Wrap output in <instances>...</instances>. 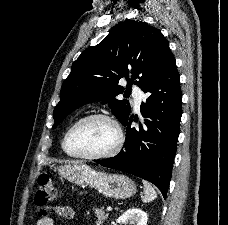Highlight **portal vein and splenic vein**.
<instances>
[{"instance_id": "obj_1", "label": "portal vein and splenic vein", "mask_w": 228, "mask_h": 225, "mask_svg": "<svg viewBox=\"0 0 228 225\" xmlns=\"http://www.w3.org/2000/svg\"><path fill=\"white\" fill-rule=\"evenodd\" d=\"M107 211H112L111 207H107Z\"/></svg>"}]
</instances>
